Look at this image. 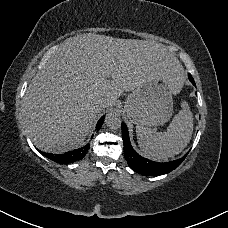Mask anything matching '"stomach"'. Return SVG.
I'll list each match as a JSON object with an SVG mask.
<instances>
[{"mask_svg": "<svg viewBox=\"0 0 228 228\" xmlns=\"http://www.w3.org/2000/svg\"><path fill=\"white\" fill-rule=\"evenodd\" d=\"M173 93L166 79L157 78L133 91L124 103L129 119L146 127L162 125L173 113Z\"/></svg>", "mask_w": 228, "mask_h": 228, "instance_id": "stomach-1", "label": "stomach"}]
</instances>
